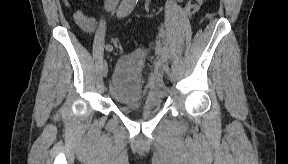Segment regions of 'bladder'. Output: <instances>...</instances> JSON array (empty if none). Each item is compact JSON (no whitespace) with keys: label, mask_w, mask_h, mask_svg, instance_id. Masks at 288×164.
Returning <instances> with one entry per match:
<instances>
[{"label":"bladder","mask_w":288,"mask_h":164,"mask_svg":"<svg viewBox=\"0 0 288 164\" xmlns=\"http://www.w3.org/2000/svg\"><path fill=\"white\" fill-rule=\"evenodd\" d=\"M145 55L134 52L126 55L115 65L110 83L109 96L123 113L154 114L160 109V97L151 87L144 85L140 69Z\"/></svg>","instance_id":"31cf9c89"}]
</instances>
